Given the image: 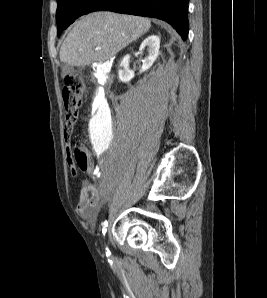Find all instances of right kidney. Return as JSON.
Wrapping results in <instances>:
<instances>
[{"label":"right kidney","mask_w":267,"mask_h":298,"mask_svg":"<svg viewBox=\"0 0 267 298\" xmlns=\"http://www.w3.org/2000/svg\"><path fill=\"white\" fill-rule=\"evenodd\" d=\"M145 47L148 48L149 55L143 60L140 73L148 70L159 54L160 38L157 35H150L140 44L139 50H143ZM130 55H126L120 63V69L118 71L119 79L123 83L129 82L134 76V72L129 69Z\"/></svg>","instance_id":"obj_1"}]
</instances>
